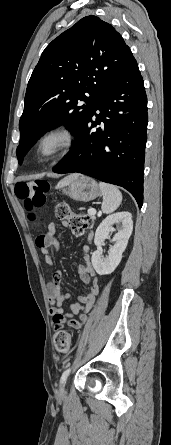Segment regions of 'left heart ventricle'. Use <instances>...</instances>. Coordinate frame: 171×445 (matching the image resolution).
I'll use <instances>...</instances> for the list:
<instances>
[{"mask_svg": "<svg viewBox=\"0 0 171 445\" xmlns=\"http://www.w3.org/2000/svg\"><path fill=\"white\" fill-rule=\"evenodd\" d=\"M52 147H53V143H52V142H49V143L45 146V151H49Z\"/></svg>", "mask_w": 171, "mask_h": 445, "instance_id": "left-heart-ventricle-1", "label": "left heart ventricle"}]
</instances>
